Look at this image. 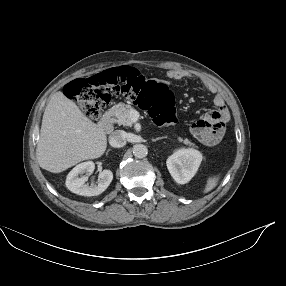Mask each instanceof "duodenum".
<instances>
[{"label":"duodenum","instance_id":"obj_1","mask_svg":"<svg viewBox=\"0 0 286 286\" xmlns=\"http://www.w3.org/2000/svg\"><path fill=\"white\" fill-rule=\"evenodd\" d=\"M101 128L106 133H110L113 131L114 124L109 110L105 111L101 119Z\"/></svg>","mask_w":286,"mask_h":286}]
</instances>
